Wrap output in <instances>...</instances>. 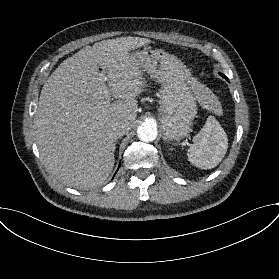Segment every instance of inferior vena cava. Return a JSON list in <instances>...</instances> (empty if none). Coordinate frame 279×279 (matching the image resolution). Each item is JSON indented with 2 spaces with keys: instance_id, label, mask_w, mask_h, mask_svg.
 <instances>
[{
  "instance_id": "602c4592",
  "label": "inferior vena cava",
  "mask_w": 279,
  "mask_h": 279,
  "mask_svg": "<svg viewBox=\"0 0 279 279\" xmlns=\"http://www.w3.org/2000/svg\"><path fill=\"white\" fill-rule=\"evenodd\" d=\"M129 129L125 124H117L113 129H112V136L115 139L121 138L124 136Z\"/></svg>"
}]
</instances>
